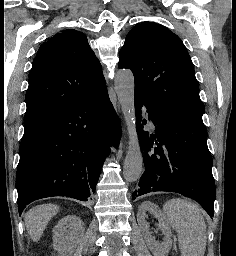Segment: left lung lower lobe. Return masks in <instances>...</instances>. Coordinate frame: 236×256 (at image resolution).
<instances>
[{
  "label": "left lung lower lobe",
  "mask_w": 236,
  "mask_h": 256,
  "mask_svg": "<svg viewBox=\"0 0 236 256\" xmlns=\"http://www.w3.org/2000/svg\"><path fill=\"white\" fill-rule=\"evenodd\" d=\"M142 106L156 128L154 134L143 130ZM135 110L145 171L132 199L152 191L176 192L196 200L212 217L216 191L206 126L138 96Z\"/></svg>",
  "instance_id": "0a47b994"
}]
</instances>
